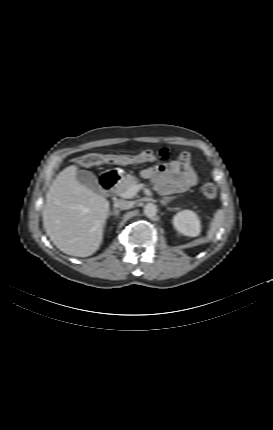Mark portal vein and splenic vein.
<instances>
[{
  "label": "portal vein and splenic vein",
  "mask_w": 273,
  "mask_h": 430,
  "mask_svg": "<svg viewBox=\"0 0 273 430\" xmlns=\"http://www.w3.org/2000/svg\"><path fill=\"white\" fill-rule=\"evenodd\" d=\"M142 188H144V184L140 183L137 185H133L127 191H125L124 193H121L120 196L122 198H131Z\"/></svg>",
  "instance_id": "18ae733b"
}]
</instances>
